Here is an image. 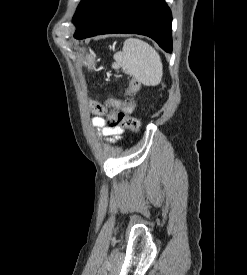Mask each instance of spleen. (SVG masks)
<instances>
[{"mask_svg": "<svg viewBox=\"0 0 247 275\" xmlns=\"http://www.w3.org/2000/svg\"><path fill=\"white\" fill-rule=\"evenodd\" d=\"M114 69L122 68L145 86H156L163 76V65L157 51L145 41L129 38L122 51L114 55Z\"/></svg>", "mask_w": 247, "mask_h": 275, "instance_id": "spleen-1", "label": "spleen"}]
</instances>
